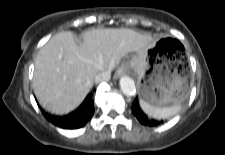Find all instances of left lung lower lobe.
<instances>
[{"instance_id": "obj_1", "label": "left lung lower lobe", "mask_w": 225, "mask_h": 155, "mask_svg": "<svg viewBox=\"0 0 225 155\" xmlns=\"http://www.w3.org/2000/svg\"><path fill=\"white\" fill-rule=\"evenodd\" d=\"M132 111H133V114L136 116V118L139 120V122L141 124H143V125H146V126H158L161 123H163V121H157V120H154V119H149L143 113V111L140 109L138 98H136L134 100V102H133Z\"/></svg>"}]
</instances>
